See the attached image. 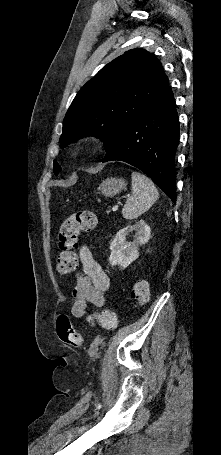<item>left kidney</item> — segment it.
Segmentation results:
<instances>
[{
    "label": "left kidney",
    "mask_w": 221,
    "mask_h": 455,
    "mask_svg": "<svg viewBox=\"0 0 221 455\" xmlns=\"http://www.w3.org/2000/svg\"><path fill=\"white\" fill-rule=\"evenodd\" d=\"M133 230L137 231L135 239L133 242L126 241V236ZM150 234L151 229L144 220H140L133 226H127L119 230L110 244L111 254L109 261L111 265H118L123 268L129 266L139 257L138 248L148 242Z\"/></svg>",
    "instance_id": "left-kidney-1"
}]
</instances>
